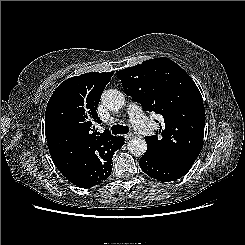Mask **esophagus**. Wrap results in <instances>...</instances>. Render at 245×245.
<instances>
[{"instance_id": "esophagus-1", "label": "esophagus", "mask_w": 245, "mask_h": 245, "mask_svg": "<svg viewBox=\"0 0 245 245\" xmlns=\"http://www.w3.org/2000/svg\"><path fill=\"white\" fill-rule=\"evenodd\" d=\"M124 137L126 140H130V139H133L135 137V134L134 133H128Z\"/></svg>"}]
</instances>
